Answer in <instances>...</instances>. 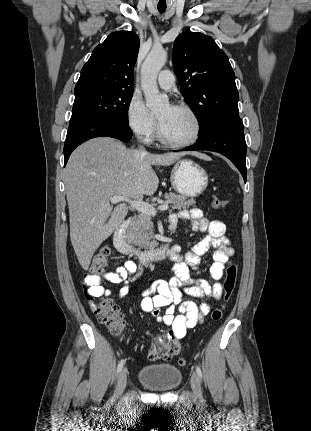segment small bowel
<instances>
[{"label": "small bowel", "instance_id": "1", "mask_svg": "<svg viewBox=\"0 0 311 431\" xmlns=\"http://www.w3.org/2000/svg\"><path fill=\"white\" fill-rule=\"evenodd\" d=\"M180 220L190 221V228L194 232L206 233L191 251L181 254L179 247L171 249L170 257L174 261V276L166 280H157L141 293V309L151 314L159 323L169 328L168 339H181L188 329L193 328L209 313L211 306L208 301L201 303L193 299L219 300L222 296V284L219 282L225 266L230 263L234 254L230 240L225 236L226 226L219 220H209L203 216L200 209L181 210L170 216V230H176ZM214 248L213 264L210 268L213 284L205 280L194 279L190 274L191 268H196L200 257ZM139 271V267L131 260H126L122 266L113 272L102 275V279L120 286L119 296L128 292L124 284L129 277ZM101 279H92L93 286L89 293L95 297L109 296L110 290L100 285ZM193 299H186L185 296ZM93 306V305H92ZM165 309L162 311V309ZM157 339H160L157 337Z\"/></svg>", "mask_w": 311, "mask_h": 431}]
</instances>
